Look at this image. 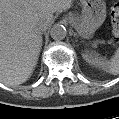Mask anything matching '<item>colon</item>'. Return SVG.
Masks as SVG:
<instances>
[{"mask_svg":"<svg viewBox=\"0 0 119 119\" xmlns=\"http://www.w3.org/2000/svg\"><path fill=\"white\" fill-rule=\"evenodd\" d=\"M112 32L116 39L119 38V4L115 3L110 12Z\"/></svg>","mask_w":119,"mask_h":119,"instance_id":"1","label":"colon"}]
</instances>
